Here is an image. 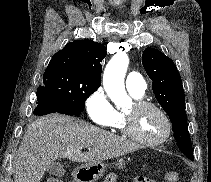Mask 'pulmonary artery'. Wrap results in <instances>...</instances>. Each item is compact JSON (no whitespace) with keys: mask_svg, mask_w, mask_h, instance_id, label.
Listing matches in <instances>:
<instances>
[{"mask_svg":"<svg viewBox=\"0 0 211 182\" xmlns=\"http://www.w3.org/2000/svg\"><path fill=\"white\" fill-rule=\"evenodd\" d=\"M126 88L129 93L142 96L146 90V82L138 72H130L126 78Z\"/></svg>","mask_w":211,"mask_h":182,"instance_id":"obj_1","label":"pulmonary artery"}]
</instances>
